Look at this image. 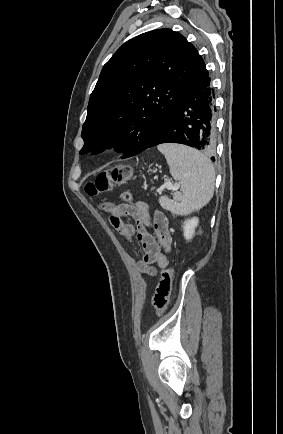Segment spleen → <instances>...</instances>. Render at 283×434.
<instances>
[{
	"label": "spleen",
	"mask_w": 283,
	"mask_h": 434,
	"mask_svg": "<svg viewBox=\"0 0 283 434\" xmlns=\"http://www.w3.org/2000/svg\"><path fill=\"white\" fill-rule=\"evenodd\" d=\"M158 150L165 156L170 173L180 181L182 198L159 199L162 208L176 215L200 210L214 193L215 171L210 160L199 151L177 144H162ZM180 200V202H178Z\"/></svg>",
	"instance_id": "obj_1"
}]
</instances>
